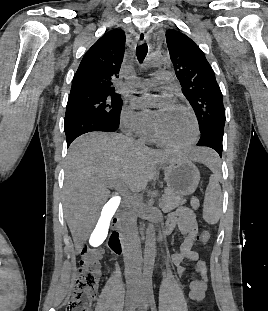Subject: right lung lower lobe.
Returning <instances> with one entry per match:
<instances>
[{"instance_id":"obj_1","label":"right lung lower lobe","mask_w":268,"mask_h":311,"mask_svg":"<svg viewBox=\"0 0 268 311\" xmlns=\"http://www.w3.org/2000/svg\"><path fill=\"white\" fill-rule=\"evenodd\" d=\"M118 128L119 122L111 124L102 120L88 117H79L71 121L69 124L64 125L67 146H69L75 138L84 133L92 131L114 132Z\"/></svg>"}]
</instances>
